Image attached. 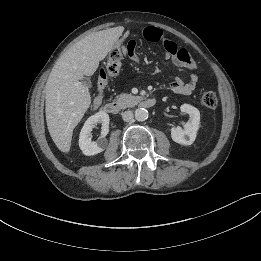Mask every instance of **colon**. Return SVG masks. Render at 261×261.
Masks as SVG:
<instances>
[{
  "mask_svg": "<svg viewBox=\"0 0 261 261\" xmlns=\"http://www.w3.org/2000/svg\"><path fill=\"white\" fill-rule=\"evenodd\" d=\"M130 36L131 32L127 31L124 41L119 42L117 47H114L110 51L104 67L98 71L97 85L99 92H103L110 77L116 76L120 72L123 57L122 46H125L129 42ZM201 100L206 107L211 109L216 108L218 105V97L213 91L204 92Z\"/></svg>",
  "mask_w": 261,
  "mask_h": 261,
  "instance_id": "obj_1",
  "label": "colon"
}]
</instances>
